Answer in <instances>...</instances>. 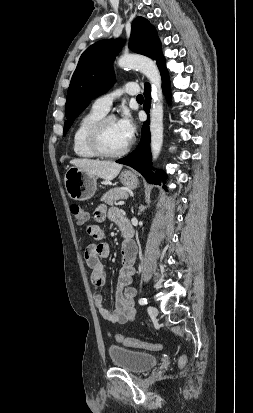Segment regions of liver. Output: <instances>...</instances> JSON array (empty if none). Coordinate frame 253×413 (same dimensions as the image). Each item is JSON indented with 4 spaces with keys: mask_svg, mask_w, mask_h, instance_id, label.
Segmentation results:
<instances>
[{
    "mask_svg": "<svg viewBox=\"0 0 253 413\" xmlns=\"http://www.w3.org/2000/svg\"><path fill=\"white\" fill-rule=\"evenodd\" d=\"M70 163L75 167L83 169L91 175L105 180L114 179L122 169V164L110 161L73 159Z\"/></svg>",
    "mask_w": 253,
    "mask_h": 413,
    "instance_id": "obj_1",
    "label": "liver"
}]
</instances>
